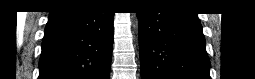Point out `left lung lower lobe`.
<instances>
[{"mask_svg":"<svg viewBox=\"0 0 255 79\" xmlns=\"http://www.w3.org/2000/svg\"><path fill=\"white\" fill-rule=\"evenodd\" d=\"M139 13L142 79H210V62L195 13L172 6Z\"/></svg>","mask_w":255,"mask_h":79,"instance_id":"obj_1","label":"left lung lower lobe"}]
</instances>
